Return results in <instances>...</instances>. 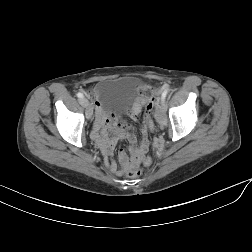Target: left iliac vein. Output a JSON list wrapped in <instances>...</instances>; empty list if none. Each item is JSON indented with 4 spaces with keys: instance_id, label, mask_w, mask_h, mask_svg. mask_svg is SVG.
Returning <instances> with one entry per match:
<instances>
[{
    "instance_id": "1",
    "label": "left iliac vein",
    "mask_w": 252,
    "mask_h": 252,
    "mask_svg": "<svg viewBox=\"0 0 252 252\" xmlns=\"http://www.w3.org/2000/svg\"><path fill=\"white\" fill-rule=\"evenodd\" d=\"M164 111H165V104L161 100V102L158 103V111L156 113V118L161 121L164 119Z\"/></svg>"
}]
</instances>
